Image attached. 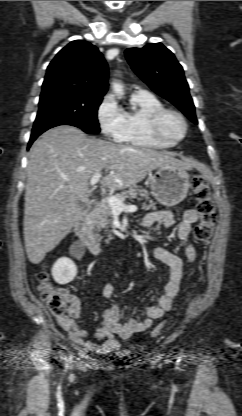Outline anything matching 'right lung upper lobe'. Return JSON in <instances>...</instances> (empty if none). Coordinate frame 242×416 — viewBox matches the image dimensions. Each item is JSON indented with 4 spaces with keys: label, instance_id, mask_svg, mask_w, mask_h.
Returning <instances> with one entry per match:
<instances>
[{
    "label": "right lung upper lobe",
    "instance_id": "right-lung-upper-lobe-1",
    "mask_svg": "<svg viewBox=\"0 0 242 416\" xmlns=\"http://www.w3.org/2000/svg\"><path fill=\"white\" fill-rule=\"evenodd\" d=\"M108 66L98 48L75 40L58 52L47 68L41 96L72 93L101 96L108 90Z\"/></svg>",
    "mask_w": 242,
    "mask_h": 416
}]
</instances>
